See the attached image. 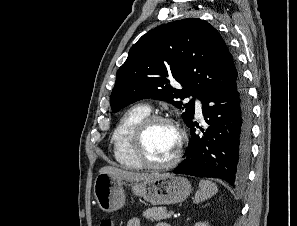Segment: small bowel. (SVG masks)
Instances as JSON below:
<instances>
[{"label":"small bowel","instance_id":"c3829d8e","mask_svg":"<svg viewBox=\"0 0 297 226\" xmlns=\"http://www.w3.org/2000/svg\"><path fill=\"white\" fill-rule=\"evenodd\" d=\"M126 226H141V220L139 217H133L128 220ZM156 226H167L165 223H159Z\"/></svg>","mask_w":297,"mask_h":226}]
</instances>
